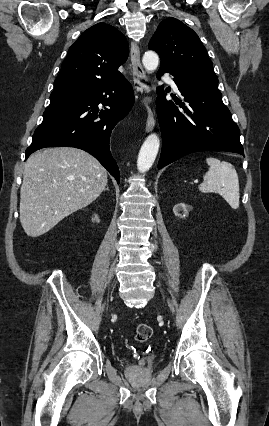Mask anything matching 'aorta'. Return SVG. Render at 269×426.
<instances>
[{"instance_id": "obj_1", "label": "aorta", "mask_w": 269, "mask_h": 426, "mask_svg": "<svg viewBox=\"0 0 269 426\" xmlns=\"http://www.w3.org/2000/svg\"><path fill=\"white\" fill-rule=\"evenodd\" d=\"M142 63L148 72L157 69L159 64V56L154 51H146L142 58ZM159 137L156 133L150 134L144 141L137 159V169L140 173L148 171L157 156L159 150Z\"/></svg>"}]
</instances>
